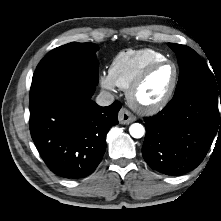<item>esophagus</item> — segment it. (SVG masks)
<instances>
[{"label":"esophagus","instance_id":"1","mask_svg":"<svg viewBox=\"0 0 221 221\" xmlns=\"http://www.w3.org/2000/svg\"><path fill=\"white\" fill-rule=\"evenodd\" d=\"M118 120L120 124H130L136 120V116H134L129 110L126 108H122L118 114Z\"/></svg>","mask_w":221,"mask_h":221}]
</instances>
